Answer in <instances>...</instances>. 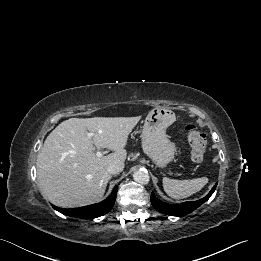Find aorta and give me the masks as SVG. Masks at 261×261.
Segmentation results:
<instances>
[{
  "mask_svg": "<svg viewBox=\"0 0 261 261\" xmlns=\"http://www.w3.org/2000/svg\"><path fill=\"white\" fill-rule=\"evenodd\" d=\"M133 179L140 184H148L150 181V176L147 170L139 169L134 172Z\"/></svg>",
  "mask_w": 261,
  "mask_h": 261,
  "instance_id": "aorta-1",
  "label": "aorta"
}]
</instances>
